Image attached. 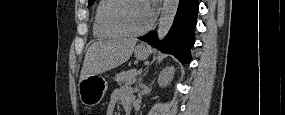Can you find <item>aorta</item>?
Masks as SVG:
<instances>
[{
	"mask_svg": "<svg viewBox=\"0 0 285 115\" xmlns=\"http://www.w3.org/2000/svg\"><path fill=\"white\" fill-rule=\"evenodd\" d=\"M179 0H164L158 21V39L162 40L168 34L179 6Z\"/></svg>",
	"mask_w": 285,
	"mask_h": 115,
	"instance_id": "1",
	"label": "aorta"
}]
</instances>
